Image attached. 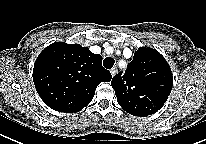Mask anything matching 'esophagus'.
I'll return each instance as SVG.
<instances>
[{
  "mask_svg": "<svg viewBox=\"0 0 206 144\" xmlns=\"http://www.w3.org/2000/svg\"><path fill=\"white\" fill-rule=\"evenodd\" d=\"M110 73L112 75V77H114L117 73V68L116 67H113L111 70H110Z\"/></svg>",
  "mask_w": 206,
  "mask_h": 144,
  "instance_id": "esophagus-1",
  "label": "esophagus"
}]
</instances>
